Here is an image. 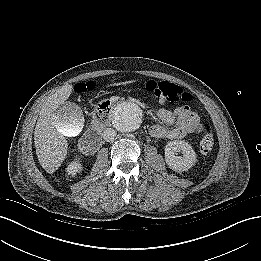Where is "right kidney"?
Instances as JSON below:
<instances>
[{
  "mask_svg": "<svg viewBox=\"0 0 261 261\" xmlns=\"http://www.w3.org/2000/svg\"><path fill=\"white\" fill-rule=\"evenodd\" d=\"M82 170V165L79 161L71 162L67 167V172L71 175H75Z\"/></svg>",
  "mask_w": 261,
  "mask_h": 261,
  "instance_id": "right-kidney-1",
  "label": "right kidney"
}]
</instances>
